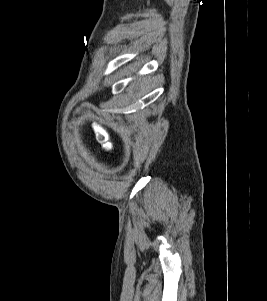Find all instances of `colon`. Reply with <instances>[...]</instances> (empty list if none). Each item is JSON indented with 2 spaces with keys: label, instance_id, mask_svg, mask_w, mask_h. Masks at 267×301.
Instances as JSON below:
<instances>
[{
  "label": "colon",
  "instance_id": "5ec220e1",
  "mask_svg": "<svg viewBox=\"0 0 267 301\" xmlns=\"http://www.w3.org/2000/svg\"><path fill=\"white\" fill-rule=\"evenodd\" d=\"M96 137L97 140L106 148V149H110L111 148V144L109 142V135L107 134V132L101 128H97L96 129Z\"/></svg>",
  "mask_w": 267,
  "mask_h": 301
}]
</instances>
